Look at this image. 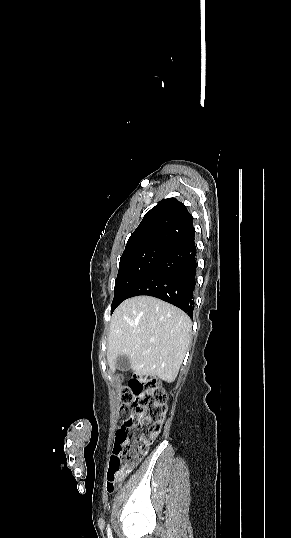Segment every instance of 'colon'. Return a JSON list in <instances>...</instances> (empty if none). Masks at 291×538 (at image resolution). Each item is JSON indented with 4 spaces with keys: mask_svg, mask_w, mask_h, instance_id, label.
Wrapping results in <instances>:
<instances>
[{
    "mask_svg": "<svg viewBox=\"0 0 291 538\" xmlns=\"http://www.w3.org/2000/svg\"><path fill=\"white\" fill-rule=\"evenodd\" d=\"M121 423L107 468L106 488L115 491L159 435L166 414V394L155 378L134 377L121 390Z\"/></svg>",
    "mask_w": 291,
    "mask_h": 538,
    "instance_id": "colon-1",
    "label": "colon"
}]
</instances>
